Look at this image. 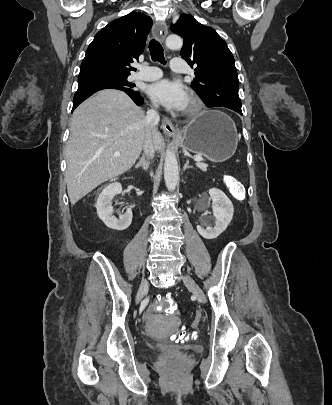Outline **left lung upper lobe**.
<instances>
[{
    "label": "left lung upper lobe",
    "mask_w": 332,
    "mask_h": 405,
    "mask_svg": "<svg viewBox=\"0 0 332 405\" xmlns=\"http://www.w3.org/2000/svg\"><path fill=\"white\" fill-rule=\"evenodd\" d=\"M171 30L184 39L181 57L196 66L192 86L205 105L241 110L235 61L226 42L189 14H182Z\"/></svg>",
    "instance_id": "left-lung-upper-lobe-1"
}]
</instances>
